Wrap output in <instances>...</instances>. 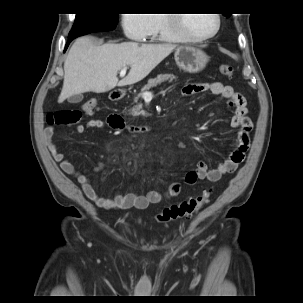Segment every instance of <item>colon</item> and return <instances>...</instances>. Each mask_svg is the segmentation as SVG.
Wrapping results in <instances>:
<instances>
[{
    "instance_id": "obj_1",
    "label": "colon",
    "mask_w": 303,
    "mask_h": 303,
    "mask_svg": "<svg viewBox=\"0 0 303 303\" xmlns=\"http://www.w3.org/2000/svg\"><path fill=\"white\" fill-rule=\"evenodd\" d=\"M219 71L223 76L230 77L233 74V67L229 64H222L219 67ZM97 107V100L92 99L83 105V109H59L49 112L46 116V122L48 125H73L82 120L83 114L90 115ZM210 190L205 191L202 195L189 198L181 201L180 203L173 204L165 208L156 219L160 222H168L170 220L180 218H190L208 202L210 197Z\"/></svg>"
}]
</instances>
